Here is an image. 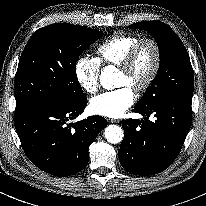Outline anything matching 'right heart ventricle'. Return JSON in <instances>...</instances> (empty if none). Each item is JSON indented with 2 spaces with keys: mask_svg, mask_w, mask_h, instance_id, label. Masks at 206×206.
I'll list each match as a JSON object with an SVG mask.
<instances>
[{
  "mask_svg": "<svg viewBox=\"0 0 206 206\" xmlns=\"http://www.w3.org/2000/svg\"><path fill=\"white\" fill-rule=\"evenodd\" d=\"M139 39L140 37L137 35H114L98 46L97 60L103 66L120 67L129 50Z\"/></svg>",
  "mask_w": 206,
  "mask_h": 206,
  "instance_id": "1",
  "label": "right heart ventricle"
}]
</instances>
